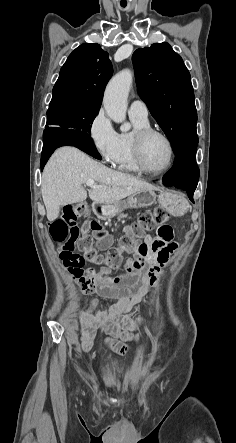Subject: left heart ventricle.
Returning <instances> with one entry per match:
<instances>
[{"mask_svg":"<svg viewBox=\"0 0 236 443\" xmlns=\"http://www.w3.org/2000/svg\"><path fill=\"white\" fill-rule=\"evenodd\" d=\"M143 155L148 168L160 170L168 164L170 152L162 137L151 135L144 144Z\"/></svg>","mask_w":236,"mask_h":443,"instance_id":"1","label":"left heart ventricle"}]
</instances>
